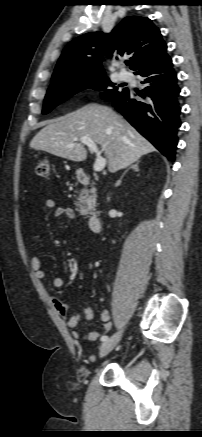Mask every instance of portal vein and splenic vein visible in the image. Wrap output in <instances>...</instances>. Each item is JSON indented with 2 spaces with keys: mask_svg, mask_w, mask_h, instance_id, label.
Returning <instances> with one entry per match:
<instances>
[{
  "mask_svg": "<svg viewBox=\"0 0 202 437\" xmlns=\"http://www.w3.org/2000/svg\"><path fill=\"white\" fill-rule=\"evenodd\" d=\"M76 140H79L81 143L85 144L92 152L96 154V160L93 169L96 172L102 171L106 166V159L101 157V153L99 152L96 143L87 137H81ZM69 147H73V144H70Z\"/></svg>",
  "mask_w": 202,
  "mask_h": 437,
  "instance_id": "portal-vein-and-splenic-vein-1",
  "label": "portal vein and splenic vein"
}]
</instances>
